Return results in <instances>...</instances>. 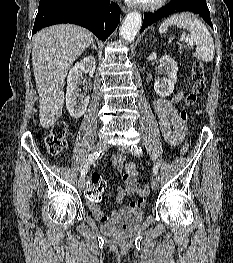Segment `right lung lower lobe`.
Instances as JSON below:
<instances>
[{
  "instance_id": "obj_1",
  "label": "right lung lower lobe",
  "mask_w": 233,
  "mask_h": 263,
  "mask_svg": "<svg viewBox=\"0 0 233 263\" xmlns=\"http://www.w3.org/2000/svg\"><path fill=\"white\" fill-rule=\"evenodd\" d=\"M120 22V7L109 0H77L75 3H59L38 11L32 34L59 23H73L93 32L102 41L114 31Z\"/></svg>"
}]
</instances>
